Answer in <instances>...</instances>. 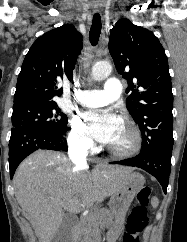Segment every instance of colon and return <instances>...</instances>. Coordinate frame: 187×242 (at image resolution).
<instances>
[{"instance_id":"5ec220e1","label":"colon","mask_w":187,"mask_h":242,"mask_svg":"<svg viewBox=\"0 0 187 242\" xmlns=\"http://www.w3.org/2000/svg\"><path fill=\"white\" fill-rule=\"evenodd\" d=\"M151 190L145 186L137 193V204L132 209L126 223V232L121 242H140V234L147 226V206L150 200Z\"/></svg>"}]
</instances>
